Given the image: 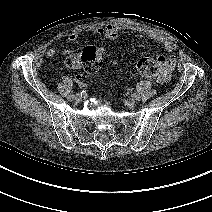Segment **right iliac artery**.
<instances>
[{
  "label": "right iliac artery",
  "mask_w": 212,
  "mask_h": 212,
  "mask_svg": "<svg viewBox=\"0 0 212 212\" xmlns=\"http://www.w3.org/2000/svg\"><path fill=\"white\" fill-rule=\"evenodd\" d=\"M73 99H74V95L73 94L68 95V97H67L68 101H72Z\"/></svg>",
  "instance_id": "1"
}]
</instances>
